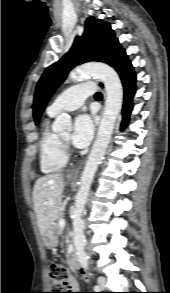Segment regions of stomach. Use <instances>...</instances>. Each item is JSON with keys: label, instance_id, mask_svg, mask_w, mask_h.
<instances>
[{"label": "stomach", "instance_id": "0dacf381", "mask_svg": "<svg viewBox=\"0 0 170 293\" xmlns=\"http://www.w3.org/2000/svg\"><path fill=\"white\" fill-rule=\"evenodd\" d=\"M68 181L73 182L74 179L68 177ZM43 241L47 248H55L58 245V237L57 235L49 229L44 235H43Z\"/></svg>", "mask_w": 170, "mask_h": 293}]
</instances>
